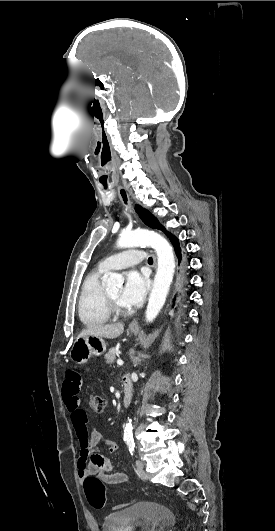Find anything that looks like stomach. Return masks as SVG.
<instances>
[{"instance_id": "stomach-1", "label": "stomach", "mask_w": 275, "mask_h": 531, "mask_svg": "<svg viewBox=\"0 0 275 531\" xmlns=\"http://www.w3.org/2000/svg\"><path fill=\"white\" fill-rule=\"evenodd\" d=\"M130 329V327H129ZM131 333H135L136 329H130ZM106 351V343L102 337L96 335H87V337H79L73 343V347L67 353L69 361H73L76 365H84L90 357H100Z\"/></svg>"}]
</instances>
